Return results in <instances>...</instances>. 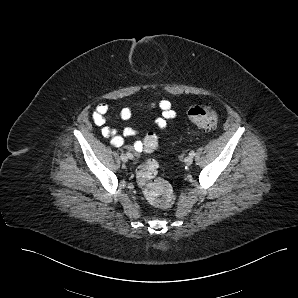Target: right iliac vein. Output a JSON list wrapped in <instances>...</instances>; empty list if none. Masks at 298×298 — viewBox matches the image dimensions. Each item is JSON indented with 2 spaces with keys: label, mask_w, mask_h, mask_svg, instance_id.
Masks as SVG:
<instances>
[{
  "label": "right iliac vein",
  "mask_w": 298,
  "mask_h": 298,
  "mask_svg": "<svg viewBox=\"0 0 298 298\" xmlns=\"http://www.w3.org/2000/svg\"><path fill=\"white\" fill-rule=\"evenodd\" d=\"M120 158H121V160H122L123 162H127V161H128V156L125 155V154H122Z\"/></svg>",
  "instance_id": "63e3f726"
}]
</instances>
